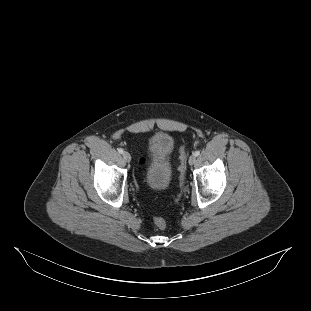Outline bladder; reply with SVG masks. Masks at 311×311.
<instances>
[{"instance_id":"1","label":"bladder","mask_w":311,"mask_h":311,"mask_svg":"<svg viewBox=\"0 0 311 311\" xmlns=\"http://www.w3.org/2000/svg\"><path fill=\"white\" fill-rule=\"evenodd\" d=\"M174 150L175 141L167 133H157L147 141L142 166L144 182L151 190H165L173 181Z\"/></svg>"}]
</instances>
